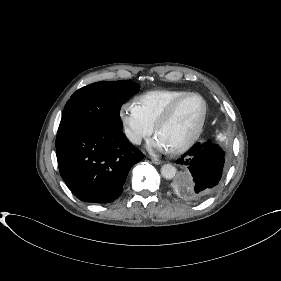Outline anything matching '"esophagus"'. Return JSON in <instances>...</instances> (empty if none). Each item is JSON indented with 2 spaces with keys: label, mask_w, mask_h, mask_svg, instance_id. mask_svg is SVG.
<instances>
[{
  "label": "esophagus",
  "mask_w": 281,
  "mask_h": 281,
  "mask_svg": "<svg viewBox=\"0 0 281 281\" xmlns=\"http://www.w3.org/2000/svg\"><path fill=\"white\" fill-rule=\"evenodd\" d=\"M151 160L156 165H159V164L162 163V161L160 159L156 158V157H152Z\"/></svg>",
  "instance_id": "34e87169"
}]
</instances>
